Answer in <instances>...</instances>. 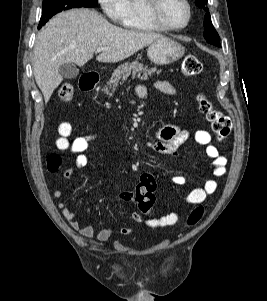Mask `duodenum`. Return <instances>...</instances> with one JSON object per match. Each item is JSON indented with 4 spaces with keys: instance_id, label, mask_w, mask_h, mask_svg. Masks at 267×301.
Listing matches in <instances>:
<instances>
[{
    "instance_id": "duodenum-1",
    "label": "duodenum",
    "mask_w": 267,
    "mask_h": 301,
    "mask_svg": "<svg viewBox=\"0 0 267 301\" xmlns=\"http://www.w3.org/2000/svg\"><path fill=\"white\" fill-rule=\"evenodd\" d=\"M99 82L97 75L86 74L80 80V88L84 91H92Z\"/></svg>"
}]
</instances>
